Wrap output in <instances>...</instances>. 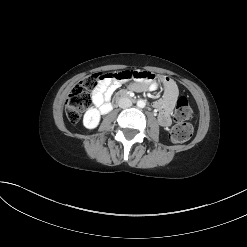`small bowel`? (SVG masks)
Listing matches in <instances>:
<instances>
[{
  "label": "small bowel",
  "instance_id": "small-bowel-1",
  "mask_svg": "<svg viewBox=\"0 0 247 247\" xmlns=\"http://www.w3.org/2000/svg\"><path fill=\"white\" fill-rule=\"evenodd\" d=\"M164 88L162 99L155 102L154 106L159 111L158 122L162 127L168 128L172 124L171 113L177 101L179 90L176 83L168 78L159 79ZM132 83L131 89L135 91L150 90L157 88V75L147 71H111L106 74L92 94V103L102 113L112 109L110 103L114 92L122 83Z\"/></svg>",
  "mask_w": 247,
  "mask_h": 247
}]
</instances>
